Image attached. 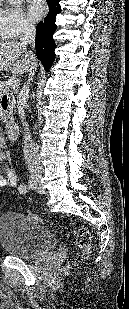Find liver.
I'll list each match as a JSON object with an SVG mask.
<instances>
[{"label": "liver", "instance_id": "1", "mask_svg": "<svg viewBox=\"0 0 129 309\" xmlns=\"http://www.w3.org/2000/svg\"><path fill=\"white\" fill-rule=\"evenodd\" d=\"M36 61L30 58L26 47L17 41H0V71H9L13 75L30 72L36 67Z\"/></svg>", "mask_w": 129, "mask_h": 309}]
</instances>
